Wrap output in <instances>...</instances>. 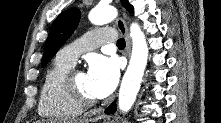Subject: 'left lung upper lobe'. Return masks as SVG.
Instances as JSON below:
<instances>
[{"mask_svg":"<svg viewBox=\"0 0 221 123\" xmlns=\"http://www.w3.org/2000/svg\"><path fill=\"white\" fill-rule=\"evenodd\" d=\"M122 5L131 13L133 6L128 0H121ZM81 12L77 8H71L61 13L53 22L44 47V55L41 63L42 67L54 57L59 48L66 42L76 29Z\"/></svg>","mask_w":221,"mask_h":123,"instance_id":"1","label":"left lung upper lobe"}]
</instances>
